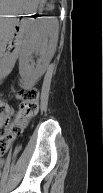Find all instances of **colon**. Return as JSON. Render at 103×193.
I'll return each instance as SVG.
<instances>
[{"label":"colon","instance_id":"1","mask_svg":"<svg viewBox=\"0 0 103 193\" xmlns=\"http://www.w3.org/2000/svg\"><path fill=\"white\" fill-rule=\"evenodd\" d=\"M15 97L19 106L15 117L13 116V110L7 103L1 104V153L7 152L16 136L21 133L28 121L36 116L39 111V91L37 89H21L15 94Z\"/></svg>","mask_w":103,"mask_h":193}]
</instances>
